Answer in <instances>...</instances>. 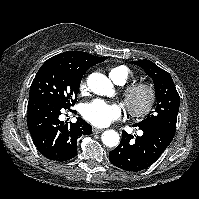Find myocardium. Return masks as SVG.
I'll return each instance as SVG.
<instances>
[{
	"label": "myocardium",
	"instance_id": "f54148a6",
	"mask_svg": "<svg viewBox=\"0 0 199 199\" xmlns=\"http://www.w3.org/2000/svg\"><path fill=\"white\" fill-rule=\"evenodd\" d=\"M156 89L148 82H136L126 87L123 93L124 103L134 118L148 116L156 102Z\"/></svg>",
	"mask_w": 199,
	"mask_h": 199
}]
</instances>
